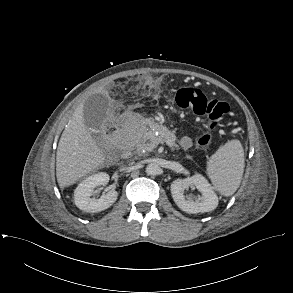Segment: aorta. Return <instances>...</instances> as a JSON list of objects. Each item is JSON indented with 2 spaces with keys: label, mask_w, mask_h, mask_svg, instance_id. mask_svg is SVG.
Listing matches in <instances>:
<instances>
[{
  "label": "aorta",
  "mask_w": 293,
  "mask_h": 293,
  "mask_svg": "<svg viewBox=\"0 0 293 293\" xmlns=\"http://www.w3.org/2000/svg\"><path fill=\"white\" fill-rule=\"evenodd\" d=\"M161 168L155 162H151L146 166V173L150 176H156L160 173Z\"/></svg>",
  "instance_id": "aorta-1"
}]
</instances>
